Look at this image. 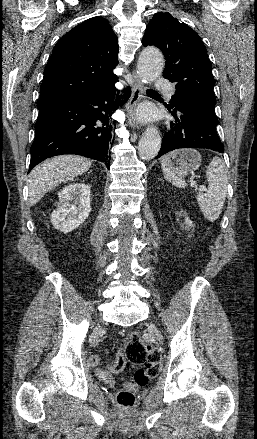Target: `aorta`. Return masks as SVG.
I'll return each instance as SVG.
<instances>
[{
    "instance_id": "762f6f07",
    "label": "aorta",
    "mask_w": 257,
    "mask_h": 439,
    "mask_svg": "<svg viewBox=\"0 0 257 439\" xmlns=\"http://www.w3.org/2000/svg\"><path fill=\"white\" fill-rule=\"evenodd\" d=\"M164 67L162 53L154 47L143 49L137 62V74L145 82L157 79ZM161 137L155 127H148L138 144L139 156L143 160L153 159L159 152Z\"/></svg>"
}]
</instances>
